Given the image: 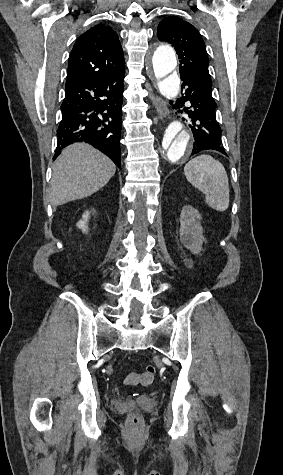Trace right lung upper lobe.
<instances>
[{"instance_id": "right-lung-upper-lobe-1", "label": "right lung upper lobe", "mask_w": 283, "mask_h": 475, "mask_svg": "<svg viewBox=\"0 0 283 475\" xmlns=\"http://www.w3.org/2000/svg\"><path fill=\"white\" fill-rule=\"evenodd\" d=\"M125 72L117 33L105 24L95 25L76 41L68 63L66 85L99 81Z\"/></svg>"}]
</instances>
